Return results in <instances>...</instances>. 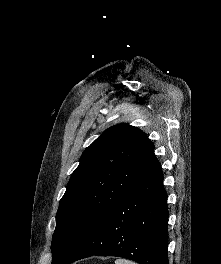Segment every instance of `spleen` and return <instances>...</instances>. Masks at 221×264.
Instances as JSON below:
<instances>
[{
    "mask_svg": "<svg viewBox=\"0 0 221 264\" xmlns=\"http://www.w3.org/2000/svg\"><path fill=\"white\" fill-rule=\"evenodd\" d=\"M115 264H137V263H134V262H132V261H129V260H127V259H117L116 261H115Z\"/></svg>",
    "mask_w": 221,
    "mask_h": 264,
    "instance_id": "obj_1",
    "label": "spleen"
}]
</instances>
